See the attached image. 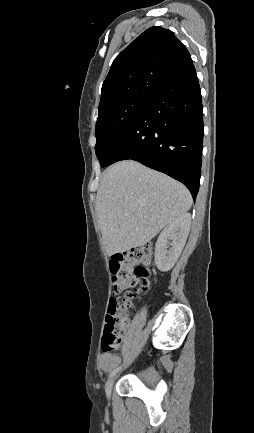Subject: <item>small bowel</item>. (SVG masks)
I'll return each instance as SVG.
<instances>
[{
    "label": "small bowel",
    "mask_w": 254,
    "mask_h": 433,
    "mask_svg": "<svg viewBox=\"0 0 254 433\" xmlns=\"http://www.w3.org/2000/svg\"><path fill=\"white\" fill-rule=\"evenodd\" d=\"M118 363V358L112 353H103L100 357L99 365L104 371L113 369Z\"/></svg>",
    "instance_id": "c3829d8e"
}]
</instances>
